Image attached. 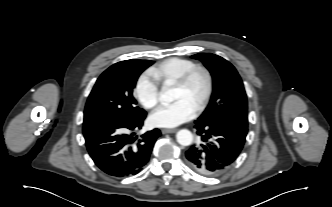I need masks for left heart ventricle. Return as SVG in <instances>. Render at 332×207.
Returning <instances> with one entry per match:
<instances>
[{"instance_id":"left-heart-ventricle-1","label":"left heart ventricle","mask_w":332,"mask_h":207,"mask_svg":"<svg viewBox=\"0 0 332 207\" xmlns=\"http://www.w3.org/2000/svg\"><path fill=\"white\" fill-rule=\"evenodd\" d=\"M205 88V79L202 74H198L191 84L183 89L178 86H174V100L184 99L191 105L196 107L200 97Z\"/></svg>"}]
</instances>
